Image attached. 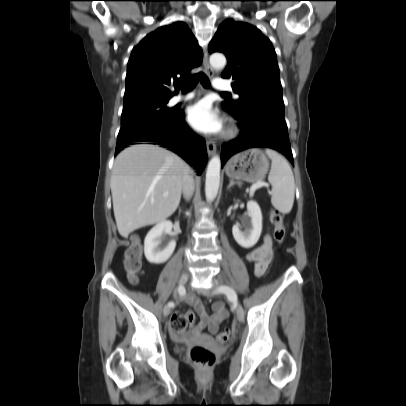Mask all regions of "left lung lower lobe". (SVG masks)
<instances>
[{
  "instance_id": "0a47b994",
  "label": "left lung lower lobe",
  "mask_w": 406,
  "mask_h": 406,
  "mask_svg": "<svg viewBox=\"0 0 406 406\" xmlns=\"http://www.w3.org/2000/svg\"><path fill=\"white\" fill-rule=\"evenodd\" d=\"M234 116V115H233ZM240 134L222 146V166L233 155L248 148L265 147L279 151L293 164V156L284 114L255 109L241 117L234 116Z\"/></svg>"
}]
</instances>
